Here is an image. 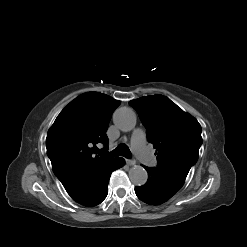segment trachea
<instances>
[{"instance_id": "obj_1", "label": "trachea", "mask_w": 247, "mask_h": 247, "mask_svg": "<svg viewBox=\"0 0 247 247\" xmlns=\"http://www.w3.org/2000/svg\"><path fill=\"white\" fill-rule=\"evenodd\" d=\"M111 156H124L126 158H130L131 157V152L129 150V148L124 145V144H121L119 146H117L113 151L112 153L110 154Z\"/></svg>"}]
</instances>
